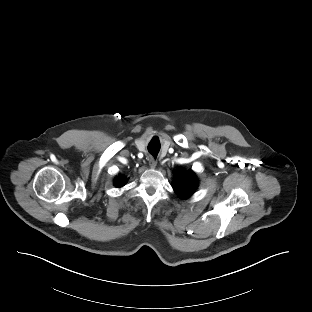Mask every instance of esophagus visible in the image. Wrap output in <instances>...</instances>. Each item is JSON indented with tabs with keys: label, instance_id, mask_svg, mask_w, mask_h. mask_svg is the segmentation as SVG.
Returning a JSON list of instances; mask_svg holds the SVG:
<instances>
[{
	"label": "esophagus",
	"instance_id": "1",
	"mask_svg": "<svg viewBox=\"0 0 312 312\" xmlns=\"http://www.w3.org/2000/svg\"><path fill=\"white\" fill-rule=\"evenodd\" d=\"M156 165H157V161L153 157H151L150 160H149L150 168H155Z\"/></svg>",
	"mask_w": 312,
	"mask_h": 312
}]
</instances>
